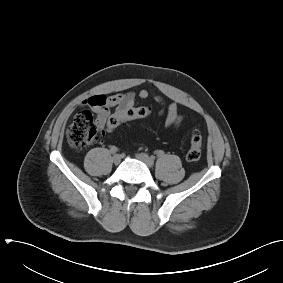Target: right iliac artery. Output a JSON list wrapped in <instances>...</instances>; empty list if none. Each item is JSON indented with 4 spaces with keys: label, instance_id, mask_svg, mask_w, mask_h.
Instances as JSON below:
<instances>
[{
    "label": "right iliac artery",
    "instance_id": "82829eb1",
    "mask_svg": "<svg viewBox=\"0 0 283 283\" xmlns=\"http://www.w3.org/2000/svg\"><path fill=\"white\" fill-rule=\"evenodd\" d=\"M110 152H111L112 154H115L116 152H118V148H117L116 146H112V147L110 148Z\"/></svg>",
    "mask_w": 283,
    "mask_h": 283
}]
</instances>
